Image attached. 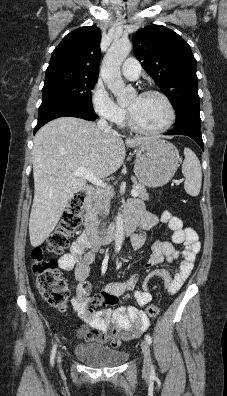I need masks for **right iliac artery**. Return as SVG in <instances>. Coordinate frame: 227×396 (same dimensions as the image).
Masks as SVG:
<instances>
[{
    "label": "right iliac artery",
    "instance_id": "1",
    "mask_svg": "<svg viewBox=\"0 0 227 396\" xmlns=\"http://www.w3.org/2000/svg\"><path fill=\"white\" fill-rule=\"evenodd\" d=\"M56 349H57V345L55 344L53 346V348H52V351H51V358H50L51 365L54 364V358H55V354H56Z\"/></svg>",
    "mask_w": 227,
    "mask_h": 396
}]
</instances>
